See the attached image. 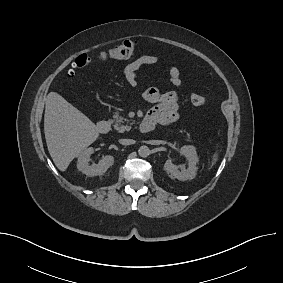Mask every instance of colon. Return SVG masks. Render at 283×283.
Listing matches in <instances>:
<instances>
[{"label": "colon", "instance_id": "colon-1", "mask_svg": "<svg viewBox=\"0 0 283 283\" xmlns=\"http://www.w3.org/2000/svg\"><path fill=\"white\" fill-rule=\"evenodd\" d=\"M137 48V43L135 41L126 40L107 51L101 52L98 56V60L105 62L108 60H123L131 57ZM94 59L87 54H81L73 61L71 68L69 70L70 74L74 73V70L83 69L85 67L93 64ZM190 100L195 106H203L207 104V99L203 96L192 93L190 95Z\"/></svg>", "mask_w": 283, "mask_h": 283}]
</instances>
